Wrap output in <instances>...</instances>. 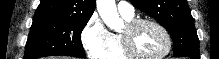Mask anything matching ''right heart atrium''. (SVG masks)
<instances>
[{
  "label": "right heart atrium",
  "mask_w": 219,
  "mask_h": 59,
  "mask_svg": "<svg viewBox=\"0 0 219 59\" xmlns=\"http://www.w3.org/2000/svg\"><path fill=\"white\" fill-rule=\"evenodd\" d=\"M112 41V33L97 14L88 20L81 33V43L90 59H105Z\"/></svg>",
  "instance_id": "right-heart-atrium-1"
}]
</instances>
